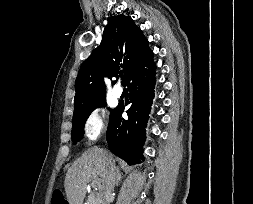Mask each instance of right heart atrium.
I'll return each mask as SVG.
<instances>
[{
	"label": "right heart atrium",
	"mask_w": 253,
	"mask_h": 204,
	"mask_svg": "<svg viewBox=\"0 0 253 204\" xmlns=\"http://www.w3.org/2000/svg\"><path fill=\"white\" fill-rule=\"evenodd\" d=\"M106 113L102 108H94L85 118L83 129L89 142L95 141L105 130Z\"/></svg>",
	"instance_id": "right-heart-atrium-1"
}]
</instances>
